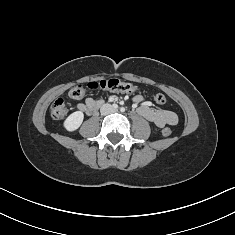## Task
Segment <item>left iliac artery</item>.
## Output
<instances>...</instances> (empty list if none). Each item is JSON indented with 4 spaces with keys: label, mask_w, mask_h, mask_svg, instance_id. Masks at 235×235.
I'll list each match as a JSON object with an SVG mask.
<instances>
[{
    "label": "left iliac artery",
    "mask_w": 235,
    "mask_h": 235,
    "mask_svg": "<svg viewBox=\"0 0 235 235\" xmlns=\"http://www.w3.org/2000/svg\"><path fill=\"white\" fill-rule=\"evenodd\" d=\"M120 111H121V112H124V111H125V108H124V107H121Z\"/></svg>",
    "instance_id": "44dca946"
}]
</instances>
